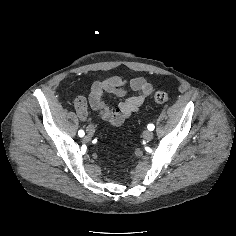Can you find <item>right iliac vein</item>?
<instances>
[{"label": "right iliac vein", "mask_w": 236, "mask_h": 236, "mask_svg": "<svg viewBox=\"0 0 236 236\" xmlns=\"http://www.w3.org/2000/svg\"><path fill=\"white\" fill-rule=\"evenodd\" d=\"M86 131H87V135L91 137L95 133V127L93 125H88Z\"/></svg>", "instance_id": "obj_1"}]
</instances>
